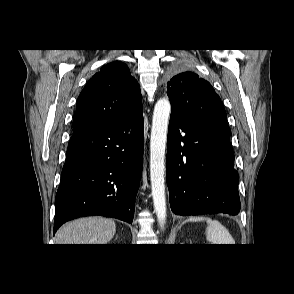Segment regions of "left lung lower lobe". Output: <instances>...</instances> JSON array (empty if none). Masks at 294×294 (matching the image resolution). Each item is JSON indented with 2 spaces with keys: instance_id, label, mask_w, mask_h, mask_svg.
Masks as SVG:
<instances>
[{
  "instance_id": "left-lung-lower-lobe-1",
  "label": "left lung lower lobe",
  "mask_w": 294,
  "mask_h": 294,
  "mask_svg": "<svg viewBox=\"0 0 294 294\" xmlns=\"http://www.w3.org/2000/svg\"><path fill=\"white\" fill-rule=\"evenodd\" d=\"M166 178L175 214H238L239 176L229 126L191 123L171 113Z\"/></svg>"
}]
</instances>
